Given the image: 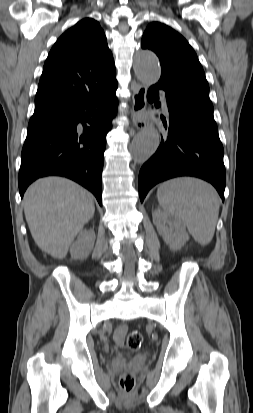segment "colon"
<instances>
[{"mask_svg": "<svg viewBox=\"0 0 253 413\" xmlns=\"http://www.w3.org/2000/svg\"><path fill=\"white\" fill-rule=\"evenodd\" d=\"M143 341V336L138 331H132L127 336V346L130 349H138ZM120 389L126 394L130 395L135 387V377L131 371H126L120 378Z\"/></svg>", "mask_w": 253, "mask_h": 413, "instance_id": "5ec220e1", "label": "colon"}]
</instances>
